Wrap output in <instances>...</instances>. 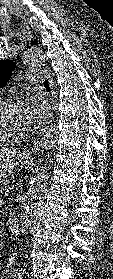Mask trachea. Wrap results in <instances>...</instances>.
Returning a JSON list of instances; mask_svg holds the SVG:
<instances>
[{
	"label": "trachea",
	"mask_w": 113,
	"mask_h": 279,
	"mask_svg": "<svg viewBox=\"0 0 113 279\" xmlns=\"http://www.w3.org/2000/svg\"><path fill=\"white\" fill-rule=\"evenodd\" d=\"M44 86H45L46 88L49 89V83H48V81H45V82H44Z\"/></svg>",
	"instance_id": "1"
}]
</instances>
